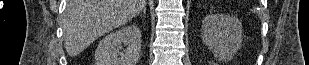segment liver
I'll use <instances>...</instances> for the list:
<instances>
[{
  "instance_id": "1",
  "label": "liver",
  "mask_w": 309,
  "mask_h": 65,
  "mask_svg": "<svg viewBox=\"0 0 309 65\" xmlns=\"http://www.w3.org/2000/svg\"><path fill=\"white\" fill-rule=\"evenodd\" d=\"M146 6V0H67L64 46L76 56L98 37L124 25Z\"/></svg>"
}]
</instances>
